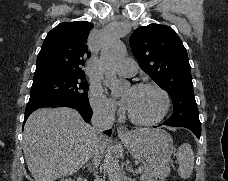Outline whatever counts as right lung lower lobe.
<instances>
[{
  "mask_svg": "<svg viewBox=\"0 0 228 181\" xmlns=\"http://www.w3.org/2000/svg\"><path fill=\"white\" fill-rule=\"evenodd\" d=\"M43 107H70L76 109L86 122H89L92 117V110L89 107L77 106L71 102L60 101V100H48L39 102H29L25 109L24 123L28 116L35 110ZM112 130H107L104 133L108 136L111 135Z\"/></svg>",
  "mask_w": 228,
  "mask_h": 181,
  "instance_id": "obj_1",
  "label": "right lung lower lobe"
}]
</instances>
